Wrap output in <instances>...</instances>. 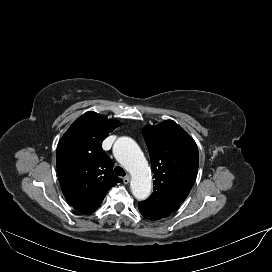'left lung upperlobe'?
<instances>
[{
    "label": "left lung upper lobe",
    "mask_w": 272,
    "mask_h": 272,
    "mask_svg": "<svg viewBox=\"0 0 272 272\" xmlns=\"http://www.w3.org/2000/svg\"><path fill=\"white\" fill-rule=\"evenodd\" d=\"M143 137L155 180L153 194L138 206L164 218L183 203L194 184L199 164L198 148L172 120L146 126Z\"/></svg>",
    "instance_id": "1"
}]
</instances>
